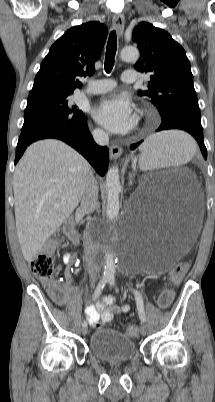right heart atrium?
Here are the masks:
<instances>
[{
	"instance_id": "1",
	"label": "right heart atrium",
	"mask_w": 215,
	"mask_h": 402,
	"mask_svg": "<svg viewBox=\"0 0 215 402\" xmlns=\"http://www.w3.org/2000/svg\"><path fill=\"white\" fill-rule=\"evenodd\" d=\"M94 136L98 139V140H103L106 137V133L100 129V128H96L94 130Z\"/></svg>"
}]
</instances>
